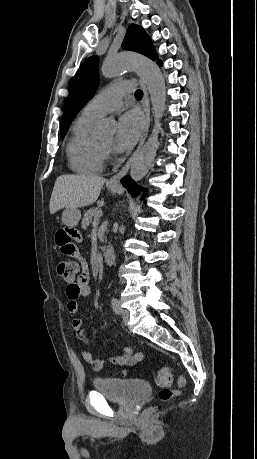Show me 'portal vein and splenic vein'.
Here are the masks:
<instances>
[{
	"instance_id": "18ae733b",
	"label": "portal vein and splenic vein",
	"mask_w": 257,
	"mask_h": 459,
	"mask_svg": "<svg viewBox=\"0 0 257 459\" xmlns=\"http://www.w3.org/2000/svg\"><path fill=\"white\" fill-rule=\"evenodd\" d=\"M102 215V212H100V214L98 215L97 218L94 219V222H93V225L94 226H97L100 222V216Z\"/></svg>"
}]
</instances>
